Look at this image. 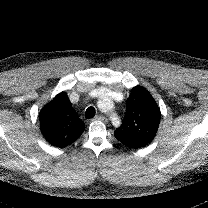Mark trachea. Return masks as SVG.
Returning a JSON list of instances; mask_svg holds the SVG:
<instances>
[{"label":"trachea","instance_id":"1","mask_svg":"<svg viewBox=\"0 0 208 208\" xmlns=\"http://www.w3.org/2000/svg\"><path fill=\"white\" fill-rule=\"evenodd\" d=\"M96 110L94 107H89L86 110L85 116L87 119L93 118L95 116Z\"/></svg>","mask_w":208,"mask_h":208}]
</instances>
